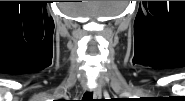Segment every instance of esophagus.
Here are the masks:
<instances>
[{"label": "esophagus", "instance_id": "1", "mask_svg": "<svg viewBox=\"0 0 185 101\" xmlns=\"http://www.w3.org/2000/svg\"><path fill=\"white\" fill-rule=\"evenodd\" d=\"M102 93H101V89L99 87H96L93 89V97L95 99L101 98Z\"/></svg>", "mask_w": 185, "mask_h": 101}]
</instances>
